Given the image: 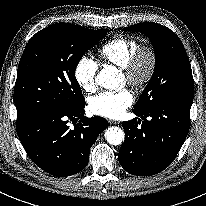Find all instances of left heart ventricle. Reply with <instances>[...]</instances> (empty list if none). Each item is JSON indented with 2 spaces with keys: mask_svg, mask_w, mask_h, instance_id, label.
<instances>
[{
  "mask_svg": "<svg viewBox=\"0 0 206 206\" xmlns=\"http://www.w3.org/2000/svg\"><path fill=\"white\" fill-rule=\"evenodd\" d=\"M145 67H146V61H143L142 65H141V68L145 69Z\"/></svg>",
  "mask_w": 206,
  "mask_h": 206,
  "instance_id": "1",
  "label": "left heart ventricle"
}]
</instances>
